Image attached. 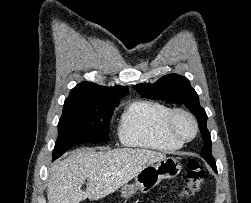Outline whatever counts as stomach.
<instances>
[{"mask_svg":"<svg viewBox=\"0 0 251 203\" xmlns=\"http://www.w3.org/2000/svg\"><path fill=\"white\" fill-rule=\"evenodd\" d=\"M182 167L177 158L164 159L143 168L136 176L133 184H125L121 189V196L130 198L137 191L148 192L156 187L162 179L176 177Z\"/></svg>","mask_w":251,"mask_h":203,"instance_id":"obj_1","label":"stomach"}]
</instances>
